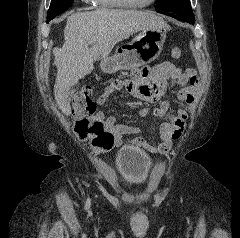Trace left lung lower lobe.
<instances>
[{
  "instance_id": "1",
  "label": "left lung lower lobe",
  "mask_w": 240,
  "mask_h": 238,
  "mask_svg": "<svg viewBox=\"0 0 240 238\" xmlns=\"http://www.w3.org/2000/svg\"><path fill=\"white\" fill-rule=\"evenodd\" d=\"M163 14L168 15L170 17H173L175 19L184 21V22H188L190 24H194V22H195L194 18L185 17V16H182V15L173 14V13H163Z\"/></svg>"
}]
</instances>
